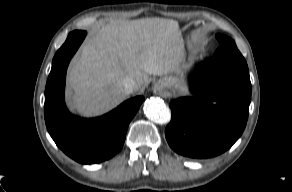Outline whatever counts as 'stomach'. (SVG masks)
<instances>
[{"label": "stomach", "mask_w": 292, "mask_h": 192, "mask_svg": "<svg viewBox=\"0 0 292 192\" xmlns=\"http://www.w3.org/2000/svg\"><path fill=\"white\" fill-rule=\"evenodd\" d=\"M194 40H189L188 45L193 47ZM185 70H180L175 76H165L159 81V84L163 90L169 95L184 94L187 93L186 83L183 78Z\"/></svg>", "instance_id": "stomach-1"}]
</instances>
